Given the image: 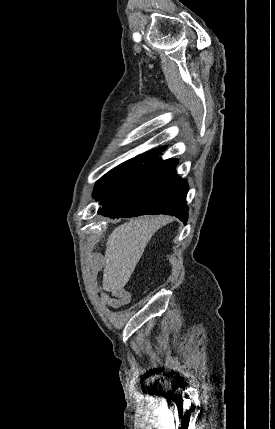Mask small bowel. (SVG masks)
<instances>
[{
	"label": "small bowel",
	"mask_w": 275,
	"mask_h": 429,
	"mask_svg": "<svg viewBox=\"0 0 275 429\" xmlns=\"http://www.w3.org/2000/svg\"><path fill=\"white\" fill-rule=\"evenodd\" d=\"M110 296L104 298V302L111 308H119L128 304L131 300L130 293L122 288H112L109 290Z\"/></svg>",
	"instance_id": "1"
}]
</instances>
